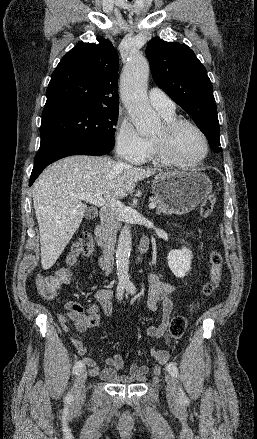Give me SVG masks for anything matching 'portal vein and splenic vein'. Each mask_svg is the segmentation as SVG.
I'll return each instance as SVG.
<instances>
[{"label":"portal vein and splenic vein","instance_id":"18ae733b","mask_svg":"<svg viewBox=\"0 0 257 439\" xmlns=\"http://www.w3.org/2000/svg\"><path fill=\"white\" fill-rule=\"evenodd\" d=\"M74 198L83 200V201H87L95 206L98 207H102L105 205L106 201L103 199L101 194L98 193H78V194H73ZM156 207V203L155 202H151L149 204V208L150 209H154Z\"/></svg>","mask_w":257,"mask_h":439}]
</instances>
